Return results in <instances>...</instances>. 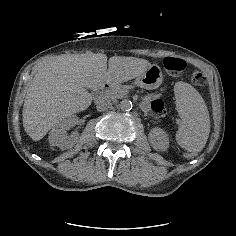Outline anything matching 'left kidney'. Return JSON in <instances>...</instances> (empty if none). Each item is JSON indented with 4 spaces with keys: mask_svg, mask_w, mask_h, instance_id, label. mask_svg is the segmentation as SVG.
<instances>
[{
    "mask_svg": "<svg viewBox=\"0 0 236 236\" xmlns=\"http://www.w3.org/2000/svg\"><path fill=\"white\" fill-rule=\"evenodd\" d=\"M149 142L155 150L166 151L169 147V139L165 131L161 128H153L149 135Z\"/></svg>",
    "mask_w": 236,
    "mask_h": 236,
    "instance_id": "5707ae66",
    "label": "left kidney"
}]
</instances>
